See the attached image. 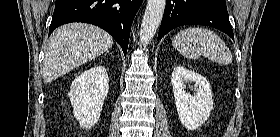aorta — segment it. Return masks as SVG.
Returning a JSON list of instances; mask_svg holds the SVG:
<instances>
[{
    "mask_svg": "<svg viewBox=\"0 0 280 137\" xmlns=\"http://www.w3.org/2000/svg\"><path fill=\"white\" fill-rule=\"evenodd\" d=\"M166 0H148L140 28V40L146 46L154 37L161 23Z\"/></svg>",
    "mask_w": 280,
    "mask_h": 137,
    "instance_id": "aorta-1",
    "label": "aorta"
}]
</instances>
